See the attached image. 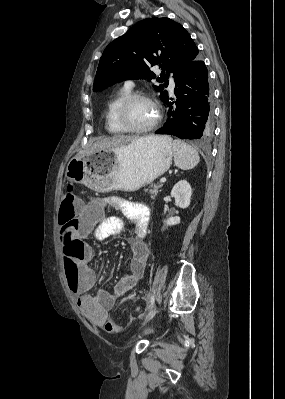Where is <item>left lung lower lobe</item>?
Wrapping results in <instances>:
<instances>
[{
	"label": "left lung lower lobe",
	"instance_id": "obj_1",
	"mask_svg": "<svg viewBox=\"0 0 285 399\" xmlns=\"http://www.w3.org/2000/svg\"><path fill=\"white\" fill-rule=\"evenodd\" d=\"M175 84L176 101L168 98L165 102L168 119L155 133L181 139H207L213 132L212 91L207 67L198 55L182 67Z\"/></svg>",
	"mask_w": 285,
	"mask_h": 399
}]
</instances>
